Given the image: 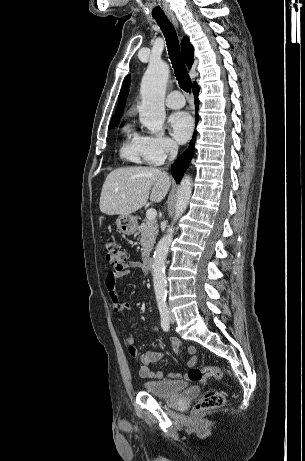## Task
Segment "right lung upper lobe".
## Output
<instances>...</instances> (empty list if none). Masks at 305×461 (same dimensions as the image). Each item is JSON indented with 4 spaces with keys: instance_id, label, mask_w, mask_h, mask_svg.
<instances>
[{
    "instance_id": "1",
    "label": "right lung upper lobe",
    "mask_w": 305,
    "mask_h": 461,
    "mask_svg": "<svg viewBox=\"0 0 305 461\" xmlns=\"http://www.w3.org/2000/svg\"><path fill=\"white\" fill-rule=\"evenodd\" d=\"M181 50H182L183 58H184V60H185V62L187 64V66L190 68L192 66L193 62H194L193 47H192L191 43L189 42L188 37H186V36L182 39ZM128 84H129V81H128V78H126V80H125V82L123 84V87L121 89V92L119 94V102H118L116 112L113 115V117L111 119V122L119 121V119L121 118V116L123 114V110H124V106H125V102H126V97H127V94H128Z\"/></svg>"
}]
</instances>
